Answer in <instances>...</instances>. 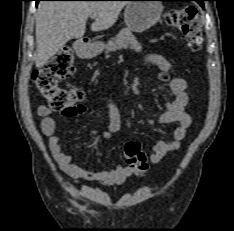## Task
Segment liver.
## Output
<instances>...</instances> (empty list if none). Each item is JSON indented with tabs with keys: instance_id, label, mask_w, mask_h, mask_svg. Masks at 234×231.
Instances as JSON below:
<instances>
[{
	"instance_id": "obj_1",
	"label": "liver",
	"mask_w": 234,
	"mask_h": 231,
	"mask_svg": "<svg viewBox=\"0 0 234 231\" xmlns=\"http://www.w3.org/2000/svg\"><path fill=\"white\" fill-rule=\"evenodd\" d=\"M125 1H42L36 13L35 64L42 67L73 38L85 34L88 17L97 13L91 30L103 31L115 24Z\"/></svg>"
}]
</instances>
